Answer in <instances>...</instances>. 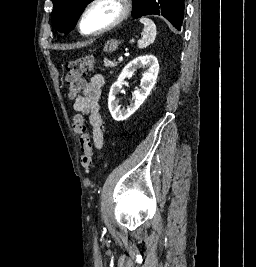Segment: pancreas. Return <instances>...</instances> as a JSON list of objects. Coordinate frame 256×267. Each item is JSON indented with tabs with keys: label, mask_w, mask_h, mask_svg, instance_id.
Segmentation results:
<instances>
[{
	"label": "pancreas",
	"mask_w": 256,
	"mask_h": 267,
	"mask_svg": "<svg viewBox=\"0 0 256 267\" xmlns=\"http://www.w3.org/2000/svg\"><path fill=\"white\" fill-rule=\"evenodd\" d=\"M104 66H106V68H112V66H117V64H115V62H109V60H104Z\"/></svg>",
	"instance_id": "cf45deb5"
}]
</instances>
